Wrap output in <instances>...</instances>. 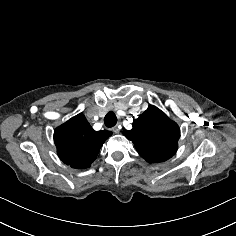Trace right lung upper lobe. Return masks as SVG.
Wrapping results in <instances>:
<instances>
[{
  "instance_id": "cb5924a9",
  "label": "right lung upper lobe",
  "mask_w": 236,
  "mask_h": 236,
  "mask_svg": "<svg viewBox=\"0 0 236 236\" xmlns=\"http://www.w3.org/2000/svg\"><path fill=\"white\" fill-rule=\"evenodd\" d=\"M111 131L96 132L80 113L55 129L54 141L58 156L73 168L85 169L96 159Z\"/></svg>"
}]
</instances>
